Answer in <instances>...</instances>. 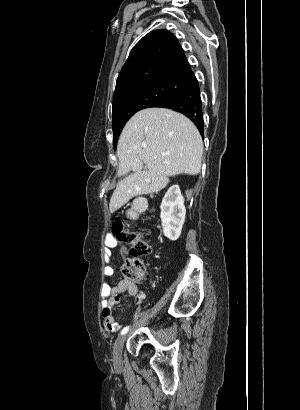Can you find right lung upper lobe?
I'll list each match as a JSON object with an SVG mask.
<instances>
[{"label":"right lung upper lobe","instance_id":"cb5924a9","mask_svg":"<svg viewBox=\"0 0 300 410\" xmlns=\"http://www.w3.org/2000/svg\"><path fill=\"white\" fill-rule=\"evenodd\" d=\"M194 74L176 37L165 29L145 35L131 50L117 78L115 95L161 82L188 83Z\"/></svg>","mask_w":300,"mask_h":410}]
</instances>
